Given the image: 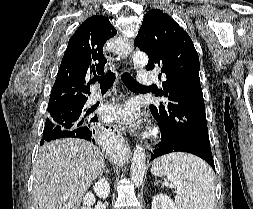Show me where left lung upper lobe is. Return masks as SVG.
<instances>
[{"label":"left lung upper lobe","mask_w":253,"mask_h":209,"mask_svg":"<svg viewBox=\"0 0 253 209\" xmlns=\"http://www.w3.org/2000/svg\"><path fill=\"white\" fill-rule=\"evenodd\" d=\"M149 57L146 70L161 69L165 101L150 106L164 139L211 150L199 78V57L190 36L166 13L149 11L135 38Z\"/></svg>","instance_id":"obj_1"}]
</instances>
